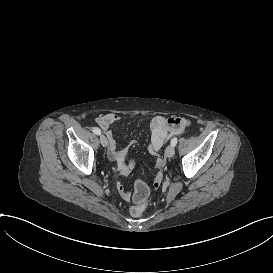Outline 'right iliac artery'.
<instances>
[{
  "instance_id": "1",
  "label": "right iliac artery",
  "mask_w": 273,
  "mask_h": 273,
  "mask_svg": "<svg viewBox=\"0 0 273 273\" xmlns=\"http://www.w3.org/2000/svg\"><path fill=\"white\" fill-rule=\"evenodd\" d=\"M93 132L97 135H100L101 134V130L99 128H93Z\"/></svg>"
}]
</instances>
